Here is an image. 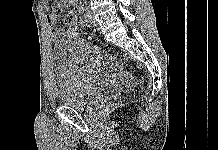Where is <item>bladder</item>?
I'll use <instances>...</instances> for the list:
<instances>
[{
	"mask_svg": "<svg viewBox=\"0 0 218 150\" xmlns=\"http://www.w3.org/2000/svg\"><path fill=\"white\" fill-rule=\"evenodd\" d=\"M80 41H58L54 46L57 65V102L66 107L86 108L95 91L101 65L89 63Z\"/></svg>",
	"mask_w": 218,
	"mask_h": 150,
	"instance_id": "1",
	"label": "bladder"
}]
</instances>
